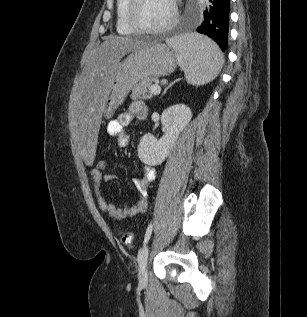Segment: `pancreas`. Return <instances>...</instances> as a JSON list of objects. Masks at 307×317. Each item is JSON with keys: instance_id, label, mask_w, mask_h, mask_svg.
<instances>
[{"instance_id": "cf45deb5", "label": "pancreas", "mask_w": 307, "mask_h": 317, "mask_svg": "<svg viewBox=\"0 0 307 317\" xmlns=\"http://www.w3.org/2000/svg\"><path fill=\"white\" fill-rule=\"evenodd\" d=\"M152 86V79L147 78L139 83H137L134 88L132 89L131 99H150L152 94L148 92V89Z\"/></svg>"}]
</instances>
